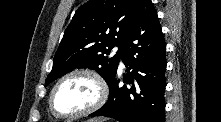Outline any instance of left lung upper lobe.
<instances>
[{"mask_svg": "<svg viewBox=\"0 0 221 122\" xmlns=\"http://www.w3.org/2000/svg\"><path fill=\"white\" fill-rule=\"evenodd\" d=\"M140 0H90L77 9L45 84L76 68L95 69L107 82L116 74ZM118 46L114 56L110 51Z\"/></svg>", "mask_w": 221, "mask_h": 122, "instance_id": "obj_1", "label": "left lung upper lobe"}]
</instances>
